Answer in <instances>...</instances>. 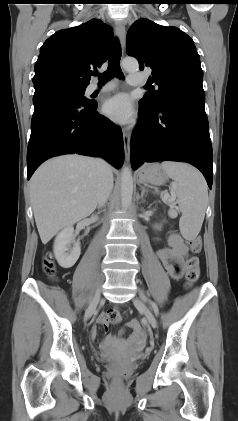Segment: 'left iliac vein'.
Wrapping results in <instances>:
<instances>
[{"label":"left iliac vein","instance_id":"obj_1","mask_svg":"<svg viewBox=\"0 0 238 421\" xmlns=\"http://www.w3.org/2000/svg\"><path fill=\"white\" fill-rule=\"evenodd\" d=\"M133 303L140 311H142V313L145 315L151 326L156 327L157 320L153 313L150 311V309L146 306V304L139 298H134Z\"/></svg>","mask_w":238,"mask_h":421}]
</instances>
